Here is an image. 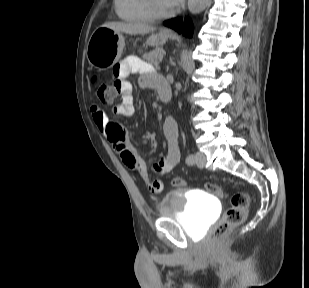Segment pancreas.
Masks as SVG:
<instances>
[{
    "mask_svg": "<svg viewBox=\"0 0 309 288\" xmlns=\"http://www.w3.org/2000/svg\"><path fill=\"white\" fill-rule=\"evenodd\" d=\"M164 50L162 48H156L149 53H145L142 58L148 63L157 65L159 63V59H161Z\"/></svg>",
    "mask_w": 309,
    "mask_h": 288,
    "instance_id": "1",
    "label": "pancreas"
}]
</instances>
